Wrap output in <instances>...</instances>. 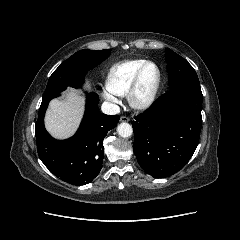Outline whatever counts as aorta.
Returning <instances> with one entry per match:
<instances>
[{"instance_id":"aorta-1","label":"aorta","mask_w":240,"mask_h":240,"mask_svg":"<svg viewBox=\"0 0 240 240\" xmlns=\"http://www.w3.org/2000/svg\"><path fill=\"white\" fill-rule=\"evenodd\" d=\"M117 132L120 137L128 138L132 135L133 129L129 123L123 122L118 125Z\"/></svg>"}]
</instances>
